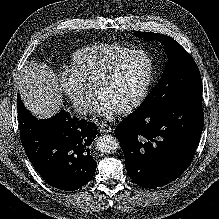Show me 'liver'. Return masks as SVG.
<instances>
[{"label": "liver", "mask_w": 219, "mask_h": 219, "mask_svg": "<svg viewBox=\"0 0 219 219\" xmlns=\"http://www.w3.org/2000/svg\"><path fill=\"white\" fill-rule=\"evenodd\" d=\"M17 83L25 107L38 119L60 111L62 92L56 75L46 64L30 61L22 68Z\"/></svg>", "instance_id": "liver-1"}]
</instances>
